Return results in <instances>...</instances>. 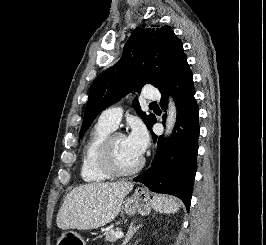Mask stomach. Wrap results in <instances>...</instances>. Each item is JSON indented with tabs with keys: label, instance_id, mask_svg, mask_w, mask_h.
Returning <instances> with one entry per match:
<instances>
[{
	"label": "stomach",
	"instance_id": "obj_1",
	"mask_svg": "<svg viewBox=\"0 0 266 245\" xmlns=\"http://www.w3.org/2000/svg\"><path fill=\"white\" fill-rule=\"evenodd\" d=\"M122 209L126 215H136V213L138 215H149L152 209V201L148 191H145V189H135L132 197H127L125 201H122ZM62 243H66V245H86L83 237L78 235V233H74V231L63 233L58 241V245H62Z\"/></svg>",
	"mask_w": 266,
	"mask_h": 245
}]
</instances>
